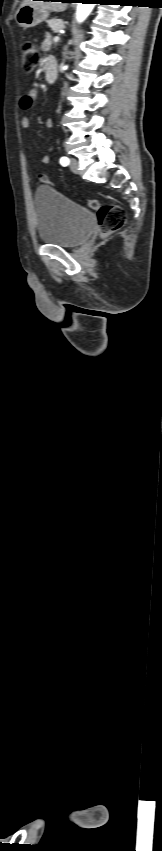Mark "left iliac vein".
<instances>
[{
  "instance_id": "4c4485c4",
  "label": "left iliac vein",
  "mask_w": 162,
  "mask_h": 851,
  "mask_svg": "<svg viewBox=\"0 0 162 851\" xmlns=\"http://www.w3.org/2000/svg\"><path fill=\"white\" fill-rule=\"evenodd\" d=\"M69 166H70V170H71L73 173L78 174L79 170H78V161H77V159H75V158H71V159H70V165H69Z\"/></svg>"
}]
</instances>
